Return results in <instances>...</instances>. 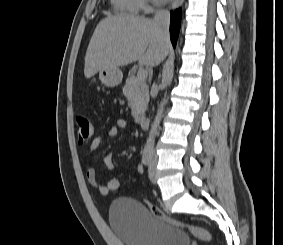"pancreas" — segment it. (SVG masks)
Wrapping results in <instances>:
<instances>
[{
	"mask_svg": "<svg viewBox=\"0 0 283 245\" xmlns=\"http://www.w3.org/2000/svg\"><path fill=\"white\" fill-rule=\"evenodd\" d=\"M123 93L129 101L132 116L135 120H139L143 116L149 102L146 78H140L131 74L123 88Z\"/></svg>",
	"mask_w": 283,
	"mask_h": 245,
	"instance_id": "obj_1",
	"label": "pancreas"
}]
</instances>
